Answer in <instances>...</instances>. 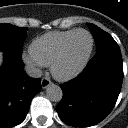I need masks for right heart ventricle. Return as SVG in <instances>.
<instances>
[{"label": "right heart ventricle", "instance_id": "obj_1", "mask_svg": "<svg viewBox=\"0 0 128 128\" xmlns=\"http://www.w3.org/2000/svg\"><path fill=\"white\" fill-rule=\"evenodd\" d=\"M75 30L52 31L37 37L30 45L31 54L44 66H51L63 42Z\"/></svg>", "mask_w": 128, "mask_h": 128}]
</instances>
